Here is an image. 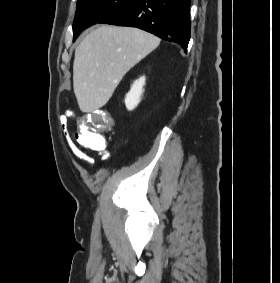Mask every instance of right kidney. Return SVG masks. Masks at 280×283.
I'll return each mask as SVG.
<instances>
[{"label":"right kidney","mask_w":280,"mask_h":283,"mask_svg":"<svg viewBox=\"0 0 280 283\" xmlns=\"http://www.w3.org/2000/svg\"><path fill=\"white\" fill-rule=\"evenodd\" d=\"M145 85V76L140 77L131 86L130 91L125 97L126 108L130 111L133 110L141 101V96L144 92L143 86Z\"/></svg>","instance_id":"obj_1"}]
</instances>
